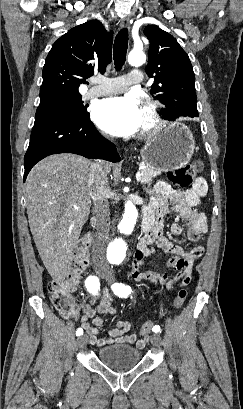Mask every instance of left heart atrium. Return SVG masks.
<instances>
[{
  "label": "left heart atrium",
  "mask_w": 243,
  "mask_h": 409,
  "mask_svg": "<svg viewBox=\"0 0 243 409\" xmlns=\"http://www.w3.org/2000/svg\"><path fill=\"white\" fill-rule=\"evenodd\" d=\"M93 120L114 136H129L142 127L143 109L133 94L100 101L93 111Z\"/></svg>",
  "instance_id": "1"
}]
</instances>
